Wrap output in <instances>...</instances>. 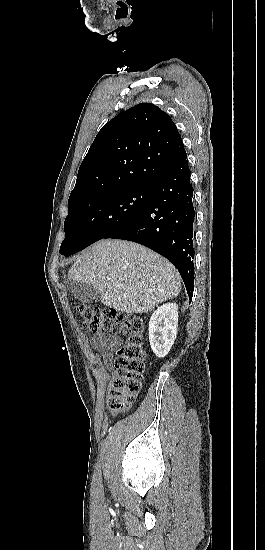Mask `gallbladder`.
Returning a JSON list of instances; mask_svg holds the SVG:
<instances>
[{
    "instance_id": "gallbladder-1",
    "label": "gallbladder",
    "mask_w": 265,
    "mask_h": 550,
    "mask_svg": "<svg viewBox=\"0 0 265 550\" xmlns=\"http://www.w3.org/2000/svg\"><path fill=\"white\" fill-rule=\"evenodd\" d=\"M66 285L71 294L82 303H95L100 300V294L94 287L87 283H77L73 280H67Z\"/></svg>"
}]
</instances>
